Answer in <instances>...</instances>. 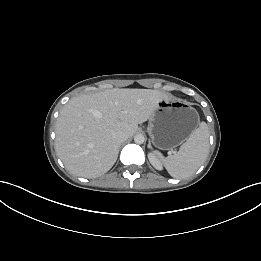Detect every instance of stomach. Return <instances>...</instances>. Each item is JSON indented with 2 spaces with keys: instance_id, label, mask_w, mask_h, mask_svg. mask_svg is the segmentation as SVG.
Instances as JSON below:
<instances>
[{
  "instance_id": "stomach-1",
  "label": "stomach",
  "mask_w": 261,
  "mask_h": 261,
  "mask_svg": "<svg viewBox=\"0 0 261 261\" xmlns=\"http://www.w3.org/2000/svg\"><path fill=\"white\" fill-rule=\"evenodd\" d=\"M198 112L187 103L166 98L160 101L149 119L147 131L153 144L159 149L174 148L197 129Z\"/></svg>"
}]
</instances>
